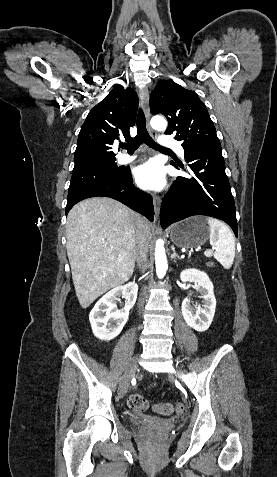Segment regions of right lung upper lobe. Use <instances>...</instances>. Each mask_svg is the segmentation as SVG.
I'll return each mask as SVG.
<instances>
[{"mask_svg":"<svg viewBox=\"0 0 277 477\" xmlns=\"http://www.w3.org/2000/svg\"><path fill=\"white\" fill-rule=\"evenodd\" d=\"M138 107L136 92L115 86L89 112L83 123L74 154V167L115 160L112 145L119 136L131 139L129 129L135 125Z\"/></svg>","mask_w":277,"mask_h":477,"instance_id":"1","label":"right lung upper lobe"}]
</instances>
